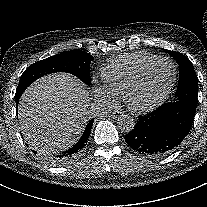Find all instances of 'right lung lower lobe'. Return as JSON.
I'll return each mask as SVG.
<instances>
[{
  "label": "right lung lower lobe",
  "instance_id": "98d812e1",
  "mask_svg": "<svg viewBox=\"0 0 207 207\" xmlns=\"http://www.w3.org/2000/svg\"><path fill=\"white\" fill-rule=\"evenodd\" d=\"M20 98V97H19ZM19 98H16V112L18 111V102H19ZM92 124H93V120H91L88 125L86 126V129L82 135V137L80 138V140L69 150L65 151L64 153L60 154V155H56V156H49L48 160L51 163L54 164H61L63 162H66L69 160V158L73 157L74 155H76L78 152H80V150L85 146V143L88 140V137L90 135V130L92 128ZM33 153L36 154L35 151H32Z\"/></svg>",
  "mask_w": 207,
  "mask_h": 207
}]
</instances>
